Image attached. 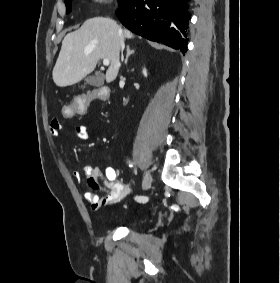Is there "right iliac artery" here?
Returning a JSON list of instances; mask_svg holds the SVG:
<instances>
[{"label": "right iliac artery", "mask_w": 280, "mask_h": 283, "mask_svg": "<svg viewBox=\"0 0 280 283\" xmlns=\"http://www.w3.org/2000/svg\"><path fill=\"white\" fill-rule=\"evenodd\" d=\"M129 166L132 167L133 165L129 163ZM135 200L139 203H146L148 201V197L146 196H136Z\"/></svg>", "instance_id": "right-iliac-artery-1"}]
</instances>
